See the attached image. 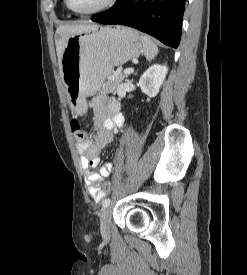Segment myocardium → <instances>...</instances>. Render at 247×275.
<instances>
[{"label": "myocardium", "instance_id": "obj_1", "mask_svg": "<svg viewBox=\"0 0 247 275\" xmlns=\"http://www.w3.org/2000/svg\"><path fill=\"white\" fill-rule=\"evenodd\" d=\"M116 1L117 0H105L98 7L94 8V9H91V10H88V11H77V10L72 9L69 5L68 0H64V3L66 5V7L68 8V10L71 11L72 13H74V14H77V15H92V14L102 12V11L112 7L115 4Z\"/></svg>", "mask_w": 247, "mask_h": 275}]
</instances>
